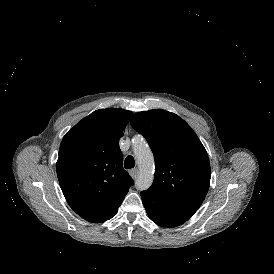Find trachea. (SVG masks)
<instances>
[{"mask_svg": "<svg viewBox=\"0 0 274 274\" xmlns=\"http://www.w3.org/2000/svg\"><path fill=\"white\" fill-rule=\"evenodd\" d=\"M135 166V160L132 156H127L124 161V167L126 169H131Z\"/></svg>", "mask_w": 274, "mask_h": 274, "instance_id": "3493384b", "label": "trachea"}]
</instances>
